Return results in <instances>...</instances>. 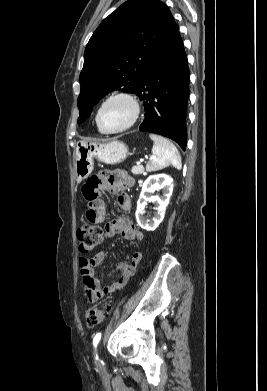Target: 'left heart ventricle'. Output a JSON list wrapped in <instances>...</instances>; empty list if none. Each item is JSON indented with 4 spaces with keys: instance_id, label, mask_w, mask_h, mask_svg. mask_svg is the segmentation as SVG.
I'll list each match as a JSON object with an SVG mask.
<instances>
[{
    "instance_id": "left-heart-ventricle-1",
    "label": "left heart ventricle",
    "mask_w": 267,
    "mask_h": 391,
    "mask_svg": "<svg viewBox=\"0 0 267 391\" xmlns=\"http://www.w3.org/2000/svg\"><path fill=\"white\" fill-rule=\"evenodd\" d=\"M132 109L130 104L123 99H115L107 103L100 115V121L104 128L114 130L123 127L130 120Z\"/></svg>"
}]
</instances>
